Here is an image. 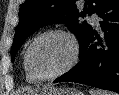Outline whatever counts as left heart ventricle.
<instances>
[{"label": "left heart ventricle", "instance_id": "1", "mask_svg": "<svg viewBox=\"0 0 119 95\" xmlns=\"http://www.w3.org/2000/svg\"><path fill=\"white\" fill-rule=\"evenodd\" d=\"M72 44L62 35L41 39L32 51V64L41 75H51L61 70L71 59Z\"/></svg>", "mask_w": 119, "mask_h": 95}]
</instances>
